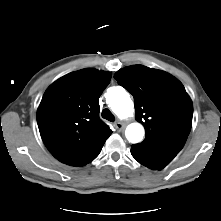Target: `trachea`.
<instances>
[{
  "instance_id": "1",
  "label": "trachea",
  "mask_w": 221,
  "mask_h": 221,
  "mask_svg": "<svg viewBox=\"0 0 221 221\" xmlns=\"http://www.w3.org/2000/svg\"><path fill=\"white\" fill-rule=\"evenodd\" d=\"M102 117L110 122H114L115 120L114 115L111 113L109 109H104L102 111Z\"/></svg>"
}]
</instances>
